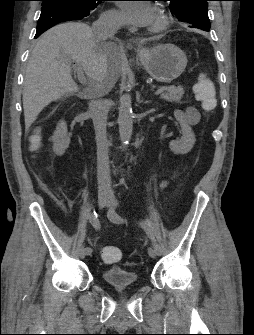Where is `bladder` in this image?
<instances>
[{"instance_id": "1", "label": "bladder", "mask_w": 254, "mask_h": 335, "mask_svg": "<svg viewBox=\"0 0 254 335\" xmlns=\"http://www.w3.org/2000/svg\"><path fill=\"white\" fill-rule=\"evenodd\" d=\"M105 283L114 290H124L137 285V275L131 270L112 267L103 272Z\"/></svg>"}]
</instances>
